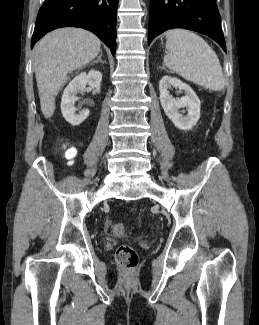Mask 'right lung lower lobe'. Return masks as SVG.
<instances>
[{
	"label": "right lung lower lobe",
	"instance_id": "1",
	"mask_svg": "<svg viewBox=\"0 0 259 325\" xmlns=\"http://www.w3.org/2000/svg\"><path fill=\"white\" fill-rule=\"evenodd\" d=\"M119 0H46L40 8L31 48L47 32L80 27L96 34L115 54L116 11Z\"/></svg>",
	"mask_w": 259,
	"mask_h": 325
}]
</instances>
